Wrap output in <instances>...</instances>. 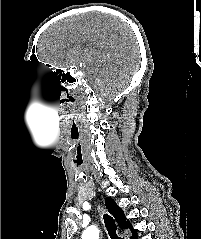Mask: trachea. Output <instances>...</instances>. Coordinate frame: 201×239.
<instances>
[{
	"instance_id": "1",
	"label": "trachea",
	"mask_w": 201,
	"mask_h": 239,
	"mask_svg": "<svg viewBox=\"0 0 201 239\" xmlns=\"http://www.w3.org/2000/svg\"><path fill=\"white\" fill-rule=\"evenodd\" d=\"M103 219H104L105 227L108 231L110 238L111 239H121L120 237H118V235L116 233L117 227H116L115 221L112 219V217L109 216L108 214H104Z\"/></svg>"
}]
</instances>
